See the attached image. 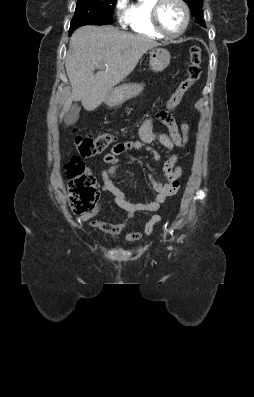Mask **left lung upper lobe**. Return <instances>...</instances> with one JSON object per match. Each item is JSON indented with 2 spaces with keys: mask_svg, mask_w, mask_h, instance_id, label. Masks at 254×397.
Masks as SVG:
<instances>
[{
  "mask_svg": "<svg viewBox=\"0 0 254 397\" xmlns=\"http://www.w3.org/2000/svg\"><path fill=\"white\" fill-rule=\"evenodd\" d=\"M190 7L192 14L196 17V19L201 18L202 16V5H203V0H184ZM198 24H200L203 27H206L205 24L201 21L196 20Z\"/></svg>",
  "mask_w": 254,
  "mask_h": 397,
  "instance_id": "obj_1",
  "label": "left lung upper lobe"
}]
</instances>
